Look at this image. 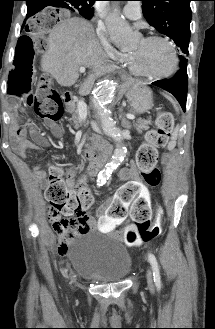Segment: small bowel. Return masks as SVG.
<instances>
[{
	"label": "small bowel",
	"instance_id": "obj_1",
	"mask_svg": "<svg viewBox=\"0 0 215 329\" xmlns=\"http://www.w3.org/2000/svg\"><path fill=\"white\" fill-rule=\"evenodd\" d=\"M47 124L51 127L55 136H59V127L50 121ZM27 132L28 129L26 127L18 125L15 122L12 123L15 150L22 157H26L40 146L52 143L50 138L44 136L37 129L32 130L34 139L28 140ZM33 172L39 179H43L45 176V172L39 168H34ZM76 175V169H72L67 173V180L71 186L75 185ZM119 177L122 181H125L122 183V187H118L117 192L96 210L99 219H106L99 222L100 232H114L115 227H124V219L127 218H152V206H150V202L148 201L151 196V187H146L140 181L136 168L130 166L121 169ZM49 219L52 224H55L60 220V215L54 213L49 208ZM96 228V219L91 214L81 217L72 228L60 234V239L56 246L57 254L60 256L69 254V246L79 234L95 230ZM117 235L130 246H140L143 243L140 239L128 240L123 231L117 232Z\"/></svg>",
	"mask_w": 215,
	"mask_h": 329
}]
</instances>
